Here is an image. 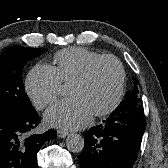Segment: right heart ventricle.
I'll return each mask as SVG.
<instances>
[{"label": "right heart ventricle", "mask_w": 168, "mask_h": 168, "mask_svg": "<svg viewBox=\"0 0 168 168\" xmlns=\"http://www.w3.org/2000/svg\"><path fill=\"white\" fill-rule=\"evenodd\" d=\"M101 54L83 47H71L54 56L55 69L63 83H71L93 59Z\"/></svg>", "instance_id": "1"}]
</instances>
